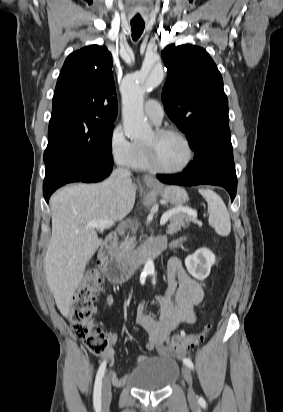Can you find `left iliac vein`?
<instances>
[{"label": "left iliac vein", "instance_id": "obj_1", "mask_svg": "<svg viewBox=\"0 0 283 412\" xmlns=\"http://www.w3.org/2000/svg\"><path fill=\"white\" fill-rule=\"evenodd\" d=\"M182 373H183V376H184V378H185V380H186V382L188 383V386H189L188 387V399H189V401H195L196 395H195V392H194L193 387H192V382H193L192 372H191L189 367L184 366L183 369H182Z\"/></svg>", "mask_w": 283, "mask_h": 412}]
</instances>
